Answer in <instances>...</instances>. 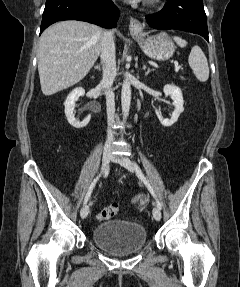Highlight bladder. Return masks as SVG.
I'll use <instances>...</instances> for the list:
<instances>
[{
  "mask_svg": "<svg viewBox=\"0 0 240 287\" xmlns=\"http://www.w3.org/2000/svg\"><path fill=\"white\" fill-rule=\"evenodd\" d=\"M91 240L102 250L113 255L138 252L147 244V230L142 224L127 220H112L96 226Z\"/></svg>",
  "mask_w": 240,
  "mask_h": 287,
  "instance_id": "bladder-1",
  "label": "bladder"
}]
</instances>
